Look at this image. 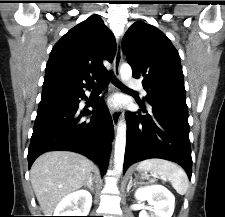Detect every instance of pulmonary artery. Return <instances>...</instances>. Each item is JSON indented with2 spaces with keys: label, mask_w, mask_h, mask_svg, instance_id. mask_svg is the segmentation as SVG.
Listing matches in <instances>:
<instances>
[{
  "label": "pulmonary artery",
  "mask_w": 225,
  "mask_h": 217,
  "mask_svg": "<svg viewBox=\"0 0 225 217\" xmlns=\"http://www.w3.org/2000/svg\"><path fill=\"white\" fill-rule=\"evenodd\" d=\"M130 86H131L133 89H135V90H137V91H140L141 94H142L143 96L146 95V92H145V90L143 89V87H142V85H141L140 83L132 82V83L130 84Z\"/></svg>",
  "instance_id": "pulmonary-artery-1"
}]
</instances>
